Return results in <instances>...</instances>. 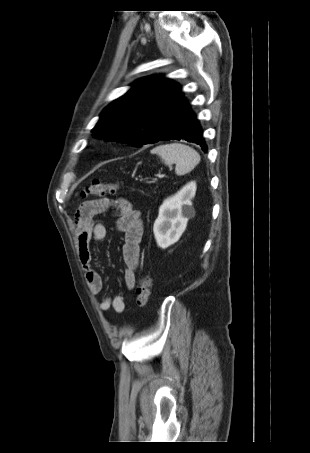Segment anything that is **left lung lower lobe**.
<instances>
[{"instance_id":"obj_1","label":"left lung lower lobe","mask_w":310,"mask_h":453,"mask_svg":"<svg viewBox=\"0 0 310 453\" xmlns=\"http://www.w3.org/2000/svg\"><path fill=\"white\" fill-rule=\"evenodd\" d=\"M186 140L198 144L203 151L207 145L203 137V130L187 99L182 97L170 124L160 140Z\"/></svg>"}]
</instances>
